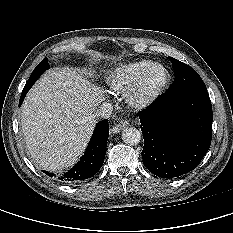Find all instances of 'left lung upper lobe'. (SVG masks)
<instances>
[{"label":"left lung upper lobe","instance_id":"5c2ea615","mask_svg":"<svg viewBox=\"0 0 233 233\" xmlns=\"http://www.w3.org/2000/svg\"><path fill=\"white\" fill-rule=\"evenodd\" d=\"M175 70V79L167 92H176L187 89L207 90L199 74L189 65L169 57Z\"/></svg>","mask_w":233,"mask_h":233}]
</instances>
